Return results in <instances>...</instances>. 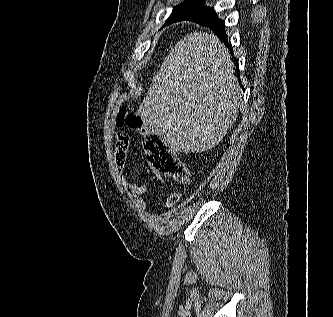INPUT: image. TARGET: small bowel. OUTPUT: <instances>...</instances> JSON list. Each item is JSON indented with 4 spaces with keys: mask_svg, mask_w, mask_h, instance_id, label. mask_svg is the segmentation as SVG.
I'll return each instance as SVG.
<instances>
[{
    "mask_svg": "<svg viewBox=\"0 0 333 317\" xmlns=\"http://www.w3.org/2000/svg\"><path fill=\"white\" fill-rule=\"evenodd\" d=\"M129 142L130 138L126 133L121 132L117 134L115 138V166L120 174V180L129 198L140 210H145L146 204L143 200V195L146 192L147 187L144 184L131 183L122 175V170L127 160ZM179 199V193H171L167 196V204L169 206L174 205L179 201Z\"/></svg>",
    "mask_w": 333,
    "mask_h": 317,
    "instance_id": "1",
    "label": "small bowel"
}]
</instances>
